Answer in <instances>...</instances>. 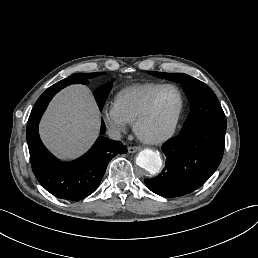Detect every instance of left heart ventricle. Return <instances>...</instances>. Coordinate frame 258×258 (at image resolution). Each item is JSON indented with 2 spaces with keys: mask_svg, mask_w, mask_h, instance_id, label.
<instances>
[{
  "mask_svg": "<svg viewBox=\"0 0 258 258\" xmlns=\"http://www.w3.org/2000/svg\"><path fill=\"white\" fill-rule=\"evenodd\" d=\"M178 109V97L174 90L160 91L149 114L140 124V131L149 137H158L167 132L173 124Z\"/></svg>",
  "mask_w": 258,
  "mask_h": 258,
  "instance_id": "obj_1",
  "label": "left heart ventricle"
}]
</instances>
